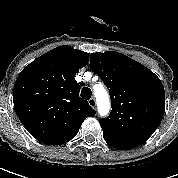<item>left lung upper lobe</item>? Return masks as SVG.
I'll list each match as a JSON object with an SVG mask.
<instances>
[{"label": "left lung upper lobe", "instance_id": "1", "mask_svg": "<svg viewBox=\"0 0 178 178\" xmlns=\"http://www.w3.org/2000/svg\"><path fill=\"white\" fill-rule=\"evenodd\" d=\"M90 69L109 88L112 111L100 120L105 141L119 150L143 144L165 112L160 79L139 62L115 51L90 55Z\"/></svg>", "mask_w": 178, "mask_h": 178}]
</instances>
